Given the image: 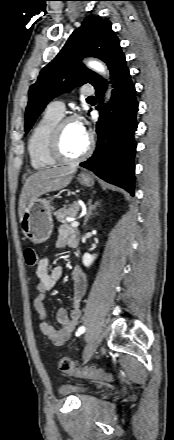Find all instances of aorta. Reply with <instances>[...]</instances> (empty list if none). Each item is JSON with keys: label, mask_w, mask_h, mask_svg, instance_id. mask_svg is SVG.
I'll return each instance as SVG.
<instances>
[{"label": "aorta", "mask_w": 174, "mask_h": 440, "mask_svg": "<svg viewBox=\"0 0 174 440\" xmlns=\"http://www.w3.org/2000/svg\"><path fill=\"white\" fill-rule=\"evenodd\" d=\"M86 65L94 70L95 72L101 74V75H106L107 74V70L106 67L104 66V64L100 61H96V60H90L86 62ZM110 93L108 92L107 97L109 98Z\"/></svg>", "instance_id": "aorta-1"}]
</instances>
